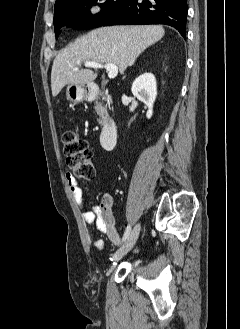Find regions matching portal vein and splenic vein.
<instances>
[{"label": "portal vein and splenic vein", "instance_id": "obj_1", "mask_svg": "<svg viewBox=\"0 0 240 329\" xmlns=\"http://www.w3.org/2000/svg\"><path fill=\"white\" fill-rule=\"evenodd\" d=\"M85 67H91V68H105L108 71V77L110 79H113L118 74V67L115 64L107 63L105 65H102L100 63L94 62V61H87L84 63ZM78 67L73 68V70H78Z\"/></svg>", "mask_w": 240, "mask_h": 329}]
</instances>
